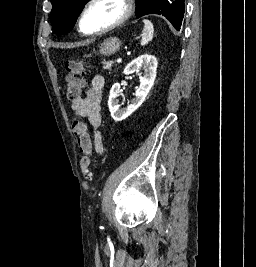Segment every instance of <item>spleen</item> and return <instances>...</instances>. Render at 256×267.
Returning <instances> with one entry per match:
<instances>
[{
  "mask_svg": "<svg viewBox=\"0 0 256 267\" xmlns=\"http://www.w3.org/2000/svg\"><path fill=\"white\" fill-rule=\"evenodd\" d=\"M144 24V30L142 34L141 46H146L149 42H152L154 36V26L150 20H142Z\"/></svg>",
  "mask_w": 256,
  "mask_h": 267,
  "instance_id": "3e777b00",
  "label": "spleen"
}]
</instances>
